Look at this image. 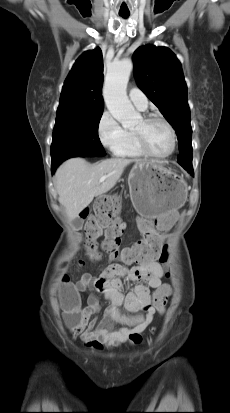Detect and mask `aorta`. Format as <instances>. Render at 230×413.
<instances>
[{"mask_svg": "<svg viewBox=\"0 0 230 413\" xmlns=\"http://www.w3.org/2000/svg\"><path fill=\"white\" fill-rule=\"evenodd\" d=\"M132 69L130 59L112 64L107 71L103 89L107 109L123 127L132 126L140 119V114L135 111L126 93Z\"/></svg>", "mask_w": 230, "mask_h": 413, "instance_id": "762f6f07", "label": "aorta"}]
</instances>
